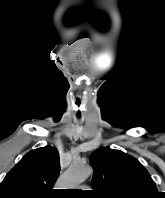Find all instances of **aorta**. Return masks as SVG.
<instances>
[{"instance_id": "obj_1", "label": "aorta", "mask_w": 165, "mask_h": 198, "mask_svg": "<svg viewBox=\"0 0 165 198\" xmlns=\"http://www.w3.org/2000/svg\"><path fill=\"white\" fill-rule=\"evenodd\" d=\"M91 167L81 162H73L59 180L60 189H75L83 183L91 174Z\"/></svg>"}]
</instances>
